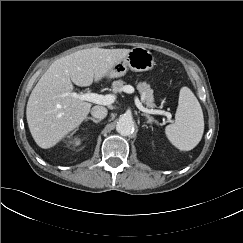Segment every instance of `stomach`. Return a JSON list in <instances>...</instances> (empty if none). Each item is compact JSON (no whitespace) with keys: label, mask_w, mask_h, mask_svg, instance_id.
Returning <instances> with one entry per match:
<instances>
[{"label":"stomach","mask_w":243,"mask_h":243,"mask_svg":"<svg viewBox=\"0 0 243 243\" xmlns=\"http://www.w3.org/2000/svg\"><path fill=\"white\" fill-rule=\"evenodd\" d=\"M154 56L146 48L135 47L125 58L116 63L108 72L107 77L118 78L124 76L128 69L136 72L148 71L153 68Z\"/></svg>","instance_id":"1"}]
</instances>
